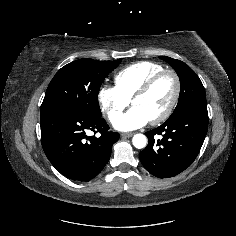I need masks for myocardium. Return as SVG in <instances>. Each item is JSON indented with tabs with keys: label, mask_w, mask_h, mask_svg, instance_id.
Here are the masks:
<instances>
[{
	"label": "myocardium",
	"mask_w": 236,
	"mask_h": 236,
	"mask_svg": "<svg viewBox=\"0 0 236 236\" xmlns=\"http://www.w3.org/2000/svg\"><path fill=\"white\" fill-rule=\"evenodd\" d=\"M169 75L173 78L174 81V93L168 104L165 111L159 115L158 117L150 120L149 122L152 125H158L164 121H166L174 112L176 105L178 103L180 94H181V80L178 73L173 69H163L162 71L156 73L152 77H150L132 96L131 104L137 98L143 97L150 92V90L156 85V83L163 78L164 76Z\"/></svg>",
	"instance_id": "myocardium-1"
}]
</instances>
